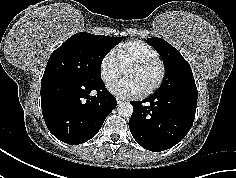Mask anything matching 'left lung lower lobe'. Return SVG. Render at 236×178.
<instances>
[{
    "label": "left lung lower lobe",
    "instance_id": "obj_1",
    "mask_svg": "<svg viewBox=\"0 0 236 178\" xmlns=\"http://www.w3.org/2000/svg\"><path fill=\"white\" fill-rule=\"evenodd\" d=\"M144 102L149 105L145 106ZM129 129L143 148L159 152L170 149L189 132L196 112L197 95L154 93L144 101H132Z\"/></svg>",
    "mask_w": 236,
    "mask_h": 178
}]
</instances>
